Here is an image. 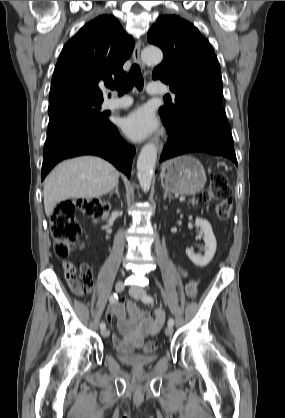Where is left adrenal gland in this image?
<instances>
[{
	"label": "left adrenal gland",
	"instance_id": "left-adrenal-gland-1",
	"mask_svg": "<svg viewBox=\"0 0 285 418\" xmlns=\"http://www.w3.org/2000/svg\"><path fill=\"white\" fill-rule=\"evenodd\" d=\"M167 197H169V198H173V196H172L170 193H168V191H167V190H165V191H164V200H165Z\"/></svg>",
	"mask_w": 285,
	"mask_h": 418
}]
</instances>
